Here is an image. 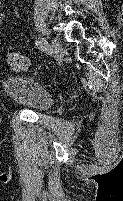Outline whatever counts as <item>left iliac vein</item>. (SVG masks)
<instances>
[{
	"mask_svg": "<svg viewBox=\"0 0 123 201\" xmlns=\"http://www.w3.org/2000/svg\"><path fill=\"white\" fill-rule=\"evenodd\" d=\"M51 52L56 60H60L63 57L62 46L57 38L51 40Z\"/></svg>",
	"mask_w": 123,
	"mask_h": 201,
	"instance_id": "4c4485c4",
	"label": "left iliac vein"
}]
</instances>
